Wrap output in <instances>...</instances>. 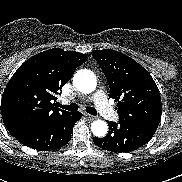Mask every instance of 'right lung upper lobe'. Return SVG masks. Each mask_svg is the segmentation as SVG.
Returning <instances> with one entry per match:
<instances>
[{"label":"right lung upper lobe","instance_id":"1","mask_svg":"<svg viewBox=\"0 0 182 182\" xmlns=\"http://www.w3.org/2000/svg\"><path fill=\"white\" fill-rule=\"evenodd\" d=\"M86 60L85 54L53 48L25 61L2 95L1 114L7 130L15 136L68 115L57 107V96Z\"/></svg>","mask_w":182,"mask_h":182}]
</instances>
